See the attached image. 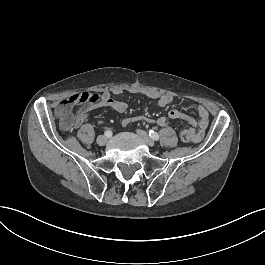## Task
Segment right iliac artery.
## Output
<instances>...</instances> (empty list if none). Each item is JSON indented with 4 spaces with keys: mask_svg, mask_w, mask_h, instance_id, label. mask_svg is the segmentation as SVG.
Wrapping results in <instances>:
<instances>
[{
    "mask_svg": "<svg viewBox=\"0 0 265 265\" xmlns=\"http://www.w3.org/2000/svg\"><path fill=\"white\" fill-rule=\"evenodd\" d=\"M105 136H106L107 138H110V137L112 136V132L109 131V130L105 131Z\"/></svg>",
    "mask_w": 265,
    "mask_h": 265,
    "instance_id": "right-iliac-artery-1",
    "label": "right iliac artery"
}]
</instances>
